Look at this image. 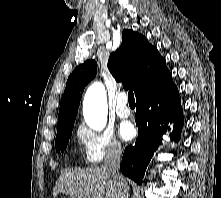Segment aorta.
Listing matches in <instances>:
<instances>
[{
	"label": "aorta",
	"mask_w": 221,
	"mask_h": 198,
	"mask_svg": "<svg viewBox=\"0 0 221 198\" xmlns=\"http://www.w3.org/2000/svg\"><path fill=\"white\" fill-rule=\"evenodd\" d=\"M83 116L91 129H104L107 123V97L101 82H94L87 89L83 100Z\"/></svg>",
	"instance_id": "obj_1"
}]
</instances>
